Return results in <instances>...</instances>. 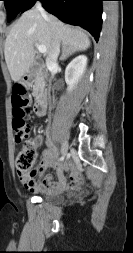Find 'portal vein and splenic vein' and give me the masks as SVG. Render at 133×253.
Instances as JSON below:
<instances>
[{
  "label": "portal vein and splenic vein",
  "mask_w": 133,
  "mask_h": 253,
  "mask_svg": "<svg viewBox=\"0 0 133 253\" xmlns=\"http://www.w3.org/2000/svg\"><path fill=\"white\" fill-rule=\"evenodd\" d=\"M35 45H36V47H37V49L40 53H43V54L46 53L47 48H46L45 45H41V44H38V43H36Z\"/></svg>",
  "instance_id": "obj_1"
}]
</instances>
